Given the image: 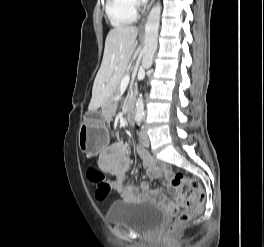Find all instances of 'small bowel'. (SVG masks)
<instances>
[{"instance_id": "small-bowel-1", "label": "small bowel", "mask_w": 264, "mask_h": 247, "mask_svg": "<svg viewBox=\"0 0 264 247\" xmlns=\"http://www.w3.org/2000/svg\"><path fill=\"white\" fill-rule=\"evenodd\" d=\"M146 173L151 178H161L164 182L169 195L176 199L182 197L173 190L169 185L172 171L164 162L156 160L147 150L139 147L137 149ZM99 168L111 174L114 177L112 188L124 199L149 198L157 201H165V195L159 190L151 189L147 183H142L141 191H138L133 185L125 184L127 171L130 167V156L128 148L121 142H115L103 151H101L98 159Z\"/></svg>"}]
</instances>
